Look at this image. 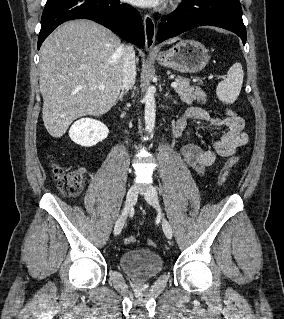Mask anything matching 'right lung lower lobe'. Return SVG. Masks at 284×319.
<instances>
[{
  "instance_id": "1",
  "label": "right lung lower lobe",
  "mask_w": 284,
  "mask_h": 319,
  "mask_svg": "<svg viewBox=\"0 0 284 319\" xmlns=\"http://www.w3.org/2000/svg\"><path fill=\"white\" fill-rule=\"evenodd\" d=\"M73 19L93 20L129 42L138 46L145 44L139 12L119 0H47L41 18L38 49L58 25Z\"/></svg>"
}]
</instances>
